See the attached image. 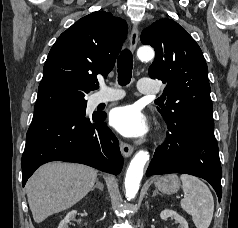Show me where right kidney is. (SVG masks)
Wrapping results in <instances>:
<instances>
[{"instance_id":"right-kidney-1","label":"right kidney","mask_w":238,"mask_h":228,"mask_svg":"<svg viewBox=\"0 0 238 228\" xmlns=\"http://www.w3.org/2000/svg\"><path fill=\"white\" fill-rule=\"evenodd\" d=\"M77 211L73 210L69 212L66 217L60 222L58 228H68L70 221L74 220L76 217Z\"/></svg>"}]
</instances>
